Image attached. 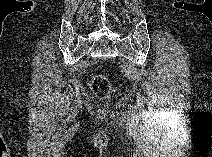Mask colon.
<instances>
[{
  "instance_id": "obj_1",
  "label": "colon",
  "mask_w": 212,
  "mask_h": 157,
  "mask_svg": "<svg viewBox=\"0 0 212 157\" xmlns=\"http://www.w3.org/2000/svg\"><path fill=\"white\" fill-rule=\"evenodd\" d=\"M89 85L93 93L102 98L107 97L112 90L110 82L100 74L93 76Z\"/></svg>"
}]
</instances>
